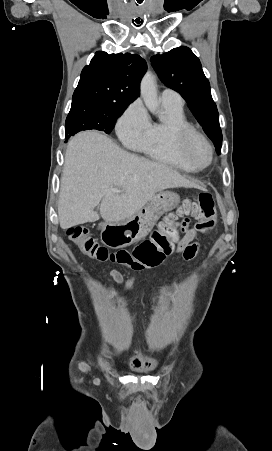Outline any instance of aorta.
Masks as SVG:
<instances>
[{"mask_svg": "<svg viewBox=\"0 0 272 451\" xmlns=\"http://www.w3.org/2000/svg\"><path fill=\"white\" fill-rule=\"evenodd\" d=\"M141 98L144 100V104L152 114H158L160 110V104L157 96V82L156 76L152 72H146L141 80Z\"/></svg>", "mask_w": 272, "mask_h": 451, "instance_id": "aorta-1", "label": "aorta"}]
</instances>
